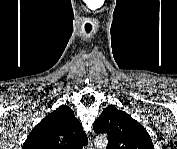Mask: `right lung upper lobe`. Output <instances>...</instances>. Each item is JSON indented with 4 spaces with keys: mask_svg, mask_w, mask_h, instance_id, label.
Wrapping results in <instances>:
<instances>
[{
    "mask_svg": "<svg viewBox=\"0 0 177 149\" xmlns=\"http://www.w3.org/2000/svg\"><path fill=\"white\" fill-rule=\"evenodd\" d=\"M87 145L82 124L69 106L62 105L37 124L23 144L25 149H81Z\"/></svg>",
    "mask_w": 177,
    "mask_h": 149,
    "instance_id": "right-lung-upper-lobe-1",
    "label": "right lung upper lobe"
}]
</instances>
